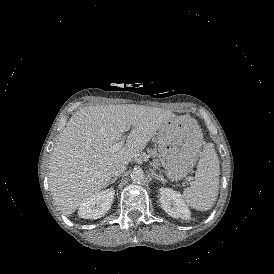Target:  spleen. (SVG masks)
<instances>
[{"mask_svg": "<svg viewBox=\"0 0 274 274\" xmlns=\"http://www.w3.org/2000/svg\"><path fill=\"white\" fill-rule=\"evenodd\" d=\"M199 145L202 142V134L199 129L197 140ZM196 159L200 154L197 165V172L191 186L187 187L182 195V199L187 206L198 211H207L216 202L219 186V160L213 145H206L203 152L193 149ZM195 159V160H196Z\"/></svg>", "mask_w": 274, "mask_h": 274, "instance_id": "obj_1", "label": "spleen"}]
</instances>
